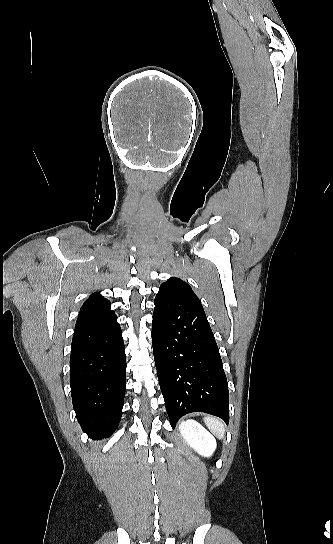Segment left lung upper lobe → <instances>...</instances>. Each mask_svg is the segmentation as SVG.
Returning <instances> with one entry per match:
<instances>
[{
	"label": "left lung upper lobe",
	"instance_id": "obj_1",
	"mask_svg": "<svg viewBox=\"0 0 333 544\" xmlns=\"http://www.w3.org/2000/svg\"><path fill=\"white\" fill-rule=\"evenodd\" d=\"M169 298L200 303L190 285L176 277H172L160 285L155 301L163 302Z\"/></svg>",
	"mask_w": 333,
	"mask_h": 544
}]
</instances>
